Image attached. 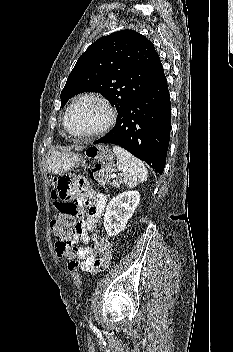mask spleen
I'll use <instances>...</instances> for the list:
<instances>
[{"mask_svg":"<svg viewBox=\"0 0 233 352\" xmlns=\"http://www.w3.org/2000/svg\"><path fill=\"white\" fill-rule=\"evenodd\" d=\"M113 152L117 156L116 166L123 172V182L126 186L132 188L139 182L147 180L148 172L142 161L116 145L113 147Z\"/></svg>","mask_w":233,"mask_h":352,"instance_id":"obj_1","label":"spleen"}]
</instances>
